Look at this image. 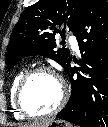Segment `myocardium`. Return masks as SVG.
<instances>
[{"instance_id": "1", "label": "myocardium", "mask_w": 108, "mask_h": 127, "mask_svg": "<svg viewBox=\"0 0 108 127\" xmlns=\"http://www.w3.org/2000/svg\"><path fill=\"white\" fill-rule=\"evenodd\" d=\"M39 73H47V74L54 76L59 81L60 88H61V94H60L58 103L56 104V106L53 109H51L50 111L45 112V113L31 112L25 106L24 99H23L24 91H25L29 81L35 75H37ZM67 99H68V87H67L65 80L58 73H56L53 69L46 67V66H38V67H35V68H32V69L26 71L25 74L23 75V77L21 78V80L19 81V84L16 89V93H15L16 107L24 116L30 117V118L48 117V116L58 113L66 104Z\"/></svg>"}]
</instances>
